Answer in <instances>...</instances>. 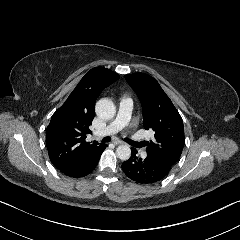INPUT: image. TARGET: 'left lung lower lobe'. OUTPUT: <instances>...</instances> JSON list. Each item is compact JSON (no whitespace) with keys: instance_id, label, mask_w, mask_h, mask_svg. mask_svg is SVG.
<instances>
[{"instance_id":"1","label":"left lung lower lobe","mask_w":240,"mask_h":240,"mask_svg":"<svg viewBox=\"0 0 240 240\" xmlns=\"http://www.w3.org/2000/svg\"><path fill=\"white\" fill-rule=\"evenodd\" d=\"M136 154L137 150L131 148V157L122 164L125 174L136 183H156L162 180L172 168L151 155L147 154V157L142 159Z\"/></svg>"}]
</instances>
